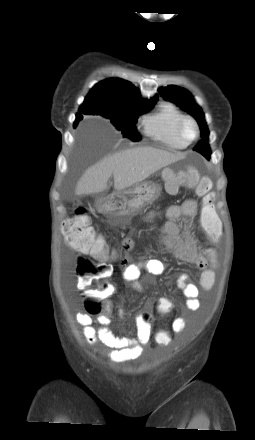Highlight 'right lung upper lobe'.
<instances>
[{
  "label": "right lung upper lobe",
  "mask_w": 255,
  "mask_h": 440,
  "mask_svg": "<svg viewBox=\"0 0 255 440\" xmlns=\"http://www.w3.org/2000/svg\"><path fill=\"white\" fill-rule=\"evenodd\" d=\"M86 99L97 100L108 104L121 105L133 103L156 102L155 96L150 100L141 99L138 90L128 81L120 78H110L97 83L89 92ZM79 116L76 115V122Z\"/></svg>",
  "instance_id": "1"
}]
</instances>
